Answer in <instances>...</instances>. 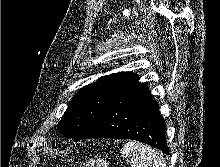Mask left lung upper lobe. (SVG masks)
<instances>
[{
  "label": "left lung upper lobe",
  "instance_id": "5c2ea615",
  "mask_svg": "<svg viewBox=\"0 0 220 167\" xmlns=\"http://www.w3.org/2000/svg\"><path fill=\"white\" fill-rule=\"evenodd\" d=\"M135 81L136 74L119 72L103 76L97 82L84 87L72 98L57 125L58 131L66 138L81 140L115 97Z\"/></svg>",
  "mask_w": 220,
  "mask_h": 167
}]
</instances>
